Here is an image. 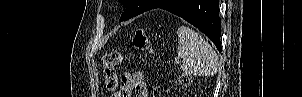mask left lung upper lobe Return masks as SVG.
Wrapping results in <instances>:
<instances>
[{
	"instance_id": "5c2ea615",
	"label": "left lung upper lobe",
	"mask_w": 302,
	"mask_h": 97,
	"mask_svg": "<svg viewBox=\"0 0 302 97\" xmlns=\"http://www.w3.org/2000/svg\"><path fill=\"white\" fill-rule=\"evenodd\" d=\"M124 6L125 11L122 14L120 21L130 19L137 14L146 11L154 0H119Z\"/></svg>"
}]
</instances>
